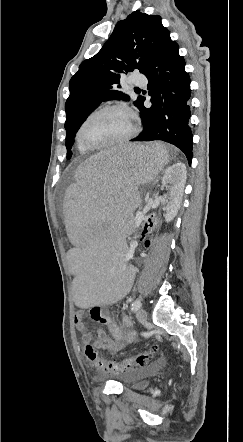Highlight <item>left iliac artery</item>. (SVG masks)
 Masks as SVG:
<instances>
[{
	"instance_id": "left-iliac-artery-1",
	"label": "left iliac artery",
	"mask_w": 243,
	"mask_h": 442,
	"mask_svg": "<svg viewBox=\"0 0 243 442\" xmlns=\"http://www.w3.org/2000/svg\"><path fill=\"white\" fill-rule=\"evenodd\" d=\"M141 307V300L140 299H136L132 305H131V310L133 312L137 311L139 308Z\"/></svg>"
}]
</instances>
